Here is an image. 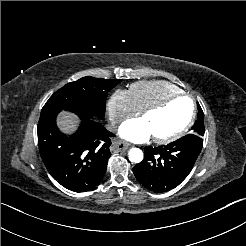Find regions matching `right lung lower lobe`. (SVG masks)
I'll return each mask as SVG.
<instances>
[{
	"instance_id": "obj_1",
	"label": "right lung lower lobe",
	"mask_w": 246,
	"mask_h": 246,
	"mask_svg": "<svg viewBox=\"0 0 246 246\" xmlns=\"http://www.w3.org/2000/svg\"><path fill=\"white\" fill-rule=\"evenodd\" d=\"M100 123L85 118L71 136L60 132L56 114L41 115L38 122V144L49 173L65 188L85 192L102 180L107 161L110 137Z\"/></svg>"
}]
</instances>
